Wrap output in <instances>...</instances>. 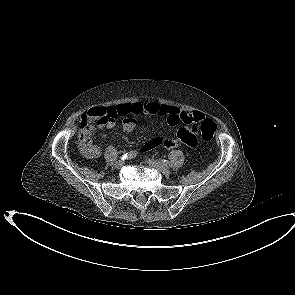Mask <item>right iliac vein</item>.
I'll return each instance as SVG.
<instances>
[{
  "instance_id": "1",
  "label": "right iliac vein",
  "mask_w": 295,
  "mask_h": 295,
  "mask_svg": "<svg viewBox=\"0 0 295 295\" xmlns=\"http://www.w3.org/2000/svg\"><path fill=\"white\" fill-rule=\"evenodd\" d=\"M123 165H124V161L123 160H119V161L115 162L114 167L116 169H120Z\"/></svg>"
}]
</instances>
